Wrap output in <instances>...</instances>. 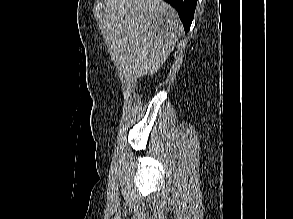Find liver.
Wrapping results in <instances>:
<instances>
[{
    "label": "liver",
    "mask_w": 293,
    "mask_h": 219,
    "mask_svg": "<svg viewBox=\"0 0 293 219\" xmlns=\"http://www.w3.org/2000/svg\"><path fill=\"white\" fill-rule=\"evenodd\" d=\"M103 34L118 71L128 80L156 73L183 31L163 0H105Z\"/></svg>",
    "instance_id": "1"
}]
</instances>
